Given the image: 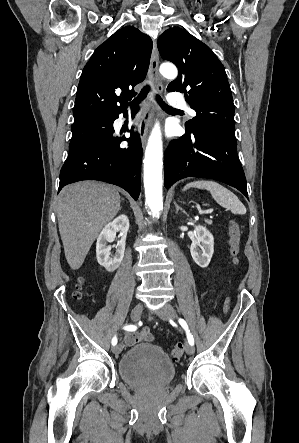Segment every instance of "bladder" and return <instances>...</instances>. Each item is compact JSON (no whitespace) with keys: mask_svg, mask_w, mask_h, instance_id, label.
<instances>
[{"mask_svg":"<svg viewBox=\"0 0 299 443\" xmlns=\"http://www.w3.org/2000/svg\"><path fill=\"white\" fill-rule=\"evenodd\" d=\"M118 374L129 386L164 387L176 376V367L156 344L139 343L129 348L118 362Z\"/></svg>","mask_w":299,"mask_h":443,"instance_id":"1","label":"bladder"}]
</instances>
